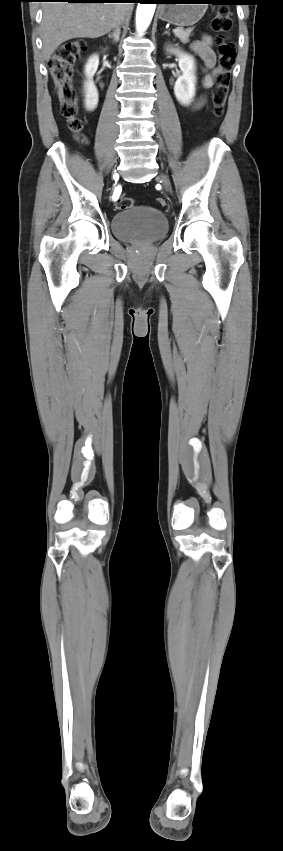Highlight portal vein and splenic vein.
Wrapping results in <instances>:
<instances>
[{"mask_svg":"<svg viewBox=\"0 0 283 851\" xmlns=\"http://www.w3.org/2000/svg\"><path fill=\"white\" fill-rule=\"evenodd\" d=\"M177 31H178V29H177V28H176V29H173V32H177Z\"/></svg>","mask_w":283,"mask_h":851,"instance_id":"1","label":"portal vein and splenic vein"}]
</instances>
